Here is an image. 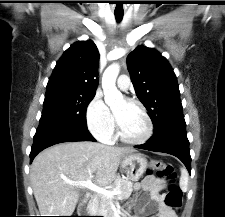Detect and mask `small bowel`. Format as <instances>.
<instances>
[{
	"label": "small bowel",
	"instance_id": "obj_1",
	"mask_svg": "<svg viewBox=\"0 0 225 217\" xmlns=\"http://www.w3.org/2000/svg\"><path fill=\"white\" fill-rule=\"evenodd\" d=\"M134 188L137 192H149V198L131 200L127 203V208L136 207L140 214H152L157 210L156 217H178L174 210L164 202V196L161 194L163 182L160 179L147 175L142 181L136 183Z\"/></svg>",
	"mask_w": 225,
	"mask_h": 217
}]
</instances>
